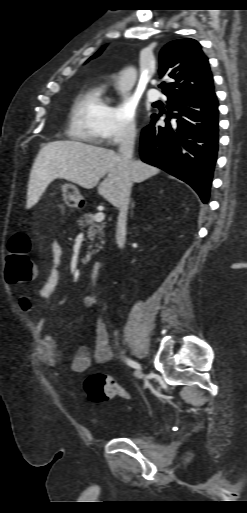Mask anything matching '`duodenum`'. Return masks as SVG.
Segmentation results:
<instances>
[{"label":"duodenum","instance_id":"obj_1","mask_svg":"<svg viewBox=\"0 0 247 513\" xmlns=\"http://www.w3.org/2000/svg\"><path fill=\"white\" fill-rule=\"evenodd\" d=\"M102 270V263L101 262H95L92 266V272H91V279L92 281L96 282L101 274Z\"/></svg>","mask_w":247,"mask_h":513}]
</instances>
